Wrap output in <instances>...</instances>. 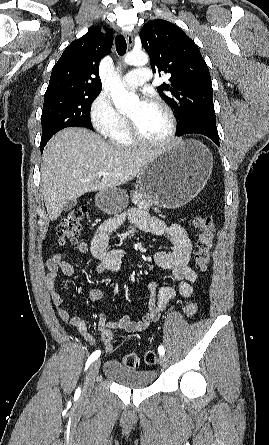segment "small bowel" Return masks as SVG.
I'll return each mask as SVG.
<instances>
[{
  "label": "small bowel",
  "instance_id": "small-bowel-1",
  "mask_svg": "<svg viewBox=\"0 0 269 445\" xmlns=\"http://www.w3.org/2000/svg\"><path fill=\"white\" fill-rule=\"evenodd\" d=\"M126 218L143 232L156 236L168 235L170 237L173 244L172 250L158 251L153 258L158 267L168 270L173 275L178 281V285L177 288L171 286L159 288L155 282L148 283L147 289L150 293L148 309L138 320H131L127 316L109 320L105 313H101L98 327L101 330L102 340L106 333H112L113 330H124L128 333H134L147 329L159 319L168 303L177 295L183 298H190L193 294V283L197 280V273L190 265L191 242L185 229L180 224L173 223L168 225L140 209L131 210ZM123 220L124 218L103 222L96 229L90 245L85 242L77 244L76 248L79 254L90 252L96 258L95 270L97 273L107 271L119 273L121 270L125 251L119 248L109 250L108 243L110 235ZM46 266L48 273L45 282L60 318L69 327L76 329L89 343L95 344L96 339L89 333L86 322L82 318L70 314L56 286L55 281L59 272L66 277L73 275V267L67 260V254L63 251L55 252L47 260ZM103 297L104 292L101 289H92L88 293V299L91 302H99Z\"/></svg>",
  "mask_w": 269,
  "mask_h": 445
}]
</instances>
